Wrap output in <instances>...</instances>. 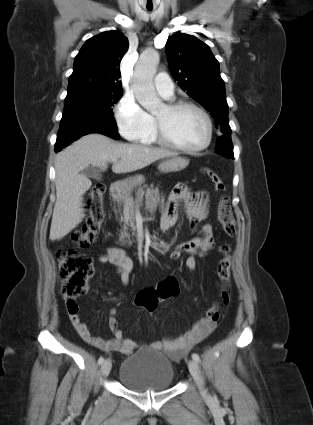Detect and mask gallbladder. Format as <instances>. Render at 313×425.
Listing matches in <instances>:
<instances>
[{
	"label": "gallbladder",
	"instance_id": "gallbladder-1",
	"mask_svg": "<svg viewBox=\"0 0 313 425\" xmlns=\"http://www.w3.org/2000/svg\"><path fill=\"white\" fill-rule=\"evenodd\" d=\"M83 173L87 176V177H92L96 180H101V175L98 173V171L96 169H94L93 167H87L86 169H84Z\"/></svg>",
	"mask_w": 313,
	"mask_h": 425
}]
</instances>
